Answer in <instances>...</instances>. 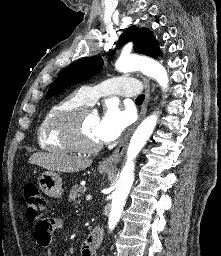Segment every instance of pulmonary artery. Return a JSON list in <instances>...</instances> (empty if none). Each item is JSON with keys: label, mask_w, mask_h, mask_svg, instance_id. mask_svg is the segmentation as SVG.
I'll use <instances>...</instances> for the list:
<instances>
[{"label": "pulmonary artery", "mask_w": 221, "mask_h": 256, "mask_svg": "<svg viewBox=\"0 0 221 256\" xmlns=\"http://www.w3.org/2000/svg\"><path fill=\"white\" fill-rule=\"evenodd\" d=\"M140 89V83L133 78L114 77L96 86H84L79 91L88 104H93L103 95L133 97L140 93Z\"/></svg>", "instance_id": "obj_1"}]
</instances>
